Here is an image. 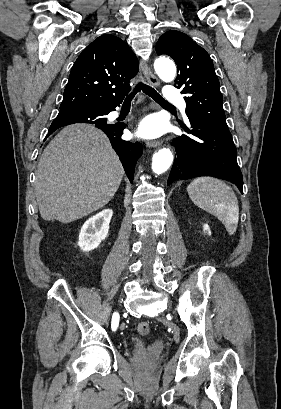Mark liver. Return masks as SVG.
<instances>
[{"label": "liver", "mask_w": 281, "mask_h": 409, "mask_svg": "<svg viewBox=\"0 0 281 409\" xmlns=\"http://www.w3.org/2000/svg\"><path fill=\"white\" fill-rule=\"evenodd\" d=\"M124 168L103 130L92 124L62 128L39 160L35 194L44 221L72 223L113 198Z\"/></svg>", "instance_id": "obj_1"}]
</instances>
